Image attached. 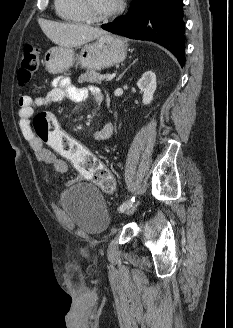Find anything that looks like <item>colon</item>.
<instances>
[{
    "mask_svg": "<svg viewBox=\"0 0 233 328\" xmlns=\"http://www.w3.org/2000/svg\"><path fill=\"white\" fill-rule=\"evenodd\" d=\"M39 51L32 45L23 49L17 80L20 85H26L37 71ZM36 137L58 153L86 178L92 180L104 192L113 193L116 190L115 179L104 164L88 149L63 131L56 118L48 112H40L34 117Z\"/></svg>",
    "mask_w": 233,
    "mask_h": 328,
    "instance_id": "obj_1",
    "label": "colon"
}]
</instances>
